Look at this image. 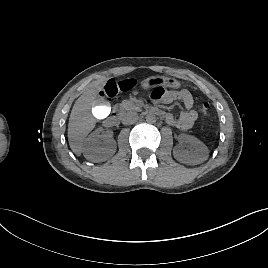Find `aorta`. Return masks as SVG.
Here are the masks:
<instances>
[{"label":"aorta","mask_w":268,"mask_h":268,"mask_svg":"<svg viewBox=\"0 0 268 268\" xmlns=\"http://www.w3.org/2000/svg\"><path fill=\"white\" fill-rule=\"evenodd\" d=\"M146 122L147 123H150V124H153L156 122V116L152 113H149L146 115Z\"/></svg>","instance_id":"obj_1"}]
</instances>
